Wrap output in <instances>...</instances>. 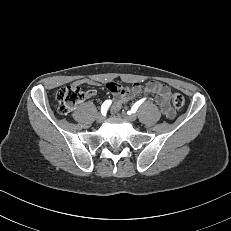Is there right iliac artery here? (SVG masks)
Instances as JSON below:
<instances>
[{
  "instance_id": "right-iliac-artery-1",
  "label": "right iliac artery",
  "mask_w": 231,
  "mask_h": 231,
  "mask_svg": "<svg viewBox=\"0 0 231 231\" xmlns=\"http://www.w3.org/2000/svg\"><path fill=\"white\" fill-rule=\"evenodd\" d=\"M110 105H111V100H106V101L102 104V106H101V113H102L103 115L106 114V112H107V110H108V108H109Z\"/></svg>"
}]
</instances>
